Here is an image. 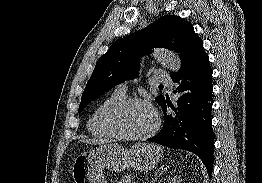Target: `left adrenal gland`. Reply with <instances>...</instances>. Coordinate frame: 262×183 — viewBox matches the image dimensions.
Returning a JSON list of instances; mask_svg holds the SVG:
<instances>
[{
    "label": "left adrenal gland",
    "instance_id": "a2214340",
    "mask_svg": "<svg viewBox=\"0 0 262 183\" xmlns=\"http://www.w3.org/2000/svg\"><path fill=\"white\" fill-rule=\"evenodd\" d=\"M165 171H167V167L161 166L157 170L156 177L151 181V183H155Z\"/></svg>",
    "mask_w": 262,
    "mask_h": 183
}]
</instances>
